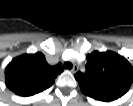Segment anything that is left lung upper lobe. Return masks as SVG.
<instances>
[{
	"label": "left lung upper lobe",
	"instance_id": "1",
	"mask_svg": "<svg viewBox=\"0 0 133 106\" xmlns=\"http://www.w3.org/2000/svg\"><path fill=\"white\" fill-rule=\"evenodd\" d=\"M74 77L85 95L108 102L122 97L129 90L133 67L117 53L94 51L87 55L86 72H77Z\"/></svg>",
	"mask_w": 133,
	"mask_h": 106
}]
</instances>
